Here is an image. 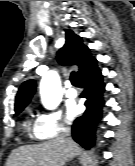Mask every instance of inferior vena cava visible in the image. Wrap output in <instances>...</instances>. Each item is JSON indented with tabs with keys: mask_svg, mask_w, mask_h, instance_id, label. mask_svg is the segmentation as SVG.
<instances>
[{
	"mask_svg": "<svg viewBox=\"0 0 135 166\" xmlns=\"http://www.w3.org/2000/svg\"><path fill=\"white\" fill-rule=\"evenodd\" d=\"M59 137H60L61 141L63 143H65L69 137V134L67 132H65V133H62Z\"/></svg>",
	"mask_w": 135,
	"mask_h": 166,
	"instance_id": "602c4592",
	"label": "inferior vena cava"
}]
</instances>
